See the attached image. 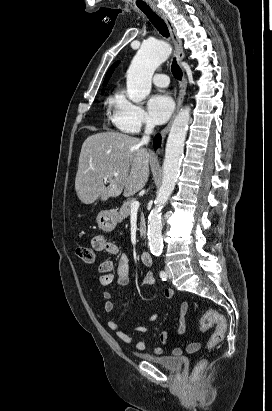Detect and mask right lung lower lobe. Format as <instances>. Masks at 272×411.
<instances>
[{
    "instance_id": "98d812e1",
    "label": "right lung lower lobe",
    "mask_w": 272,
    "mask_h": 411,
    "mask_svg": "<svg viewBox=\"0 0 272 411\" xmlns=\"http://www.w3.org/2000/svg\"><path fill=\"white\" fill-rule=\"evenodd\" d=\"M160 140H161V137L159 134H157L155 136L154 143H153V146L155 149L160 146Z\"/></svg>"
}]
</instances>
